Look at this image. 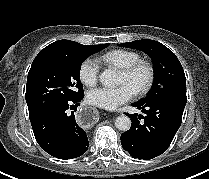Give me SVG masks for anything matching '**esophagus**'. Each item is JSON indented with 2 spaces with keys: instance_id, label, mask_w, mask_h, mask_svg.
<instances>
[{
  "instance_id": "obj_1",
  "label": "esophagus",
  "mask_w": 209,
  "mask_h": 179,
  "mask_svg": "<svg viewBox=\"0 0 209 179\" xmlns=\"http://www.w3.org/2000/svg\"><path fill=\"white\" fill-rule=\"evenodd\" d=\"M75 119L81 127L89 128L97 122L98 114L92 106H81L76 111Z\"/></svg>"
}]
</instances>
